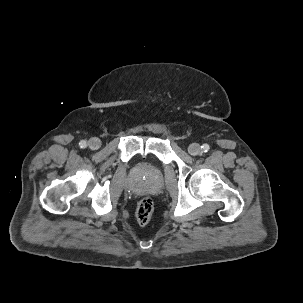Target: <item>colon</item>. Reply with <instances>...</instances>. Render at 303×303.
<instances>
[{"label":"colon","instance_id":"colon-1","mask_svg":"<svg viewBox=\"0 0 303 303\" xmlns=\"http://www.w3.org/2000/svg\"><path fill=\"white\" fill-rule=\"evenodd\" d=\"M154 203L151 198L140 200L136 209V219L140 225H147L153 218Z\"/></svg>","mask_w":303,"mask_h":303}]
</instances>
